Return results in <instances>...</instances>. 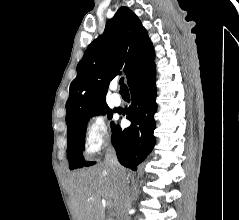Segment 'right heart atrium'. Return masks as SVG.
<instances>
[{"label":"right heart atrium","instance_id":"1","mask_svg":"<svg viewBox=\"0 0 239 220\" xmlns=\"http://www.w3.org/2000/svg\"><path fill=\"white\" fill-rule=\"evenodd\" d=\"M110 142L108 124L100 113L92 114L86 122L84 132V149L88 155L99 152Z\"/></svg>","mask_w":239,"mask_h":220}]
</instances>
